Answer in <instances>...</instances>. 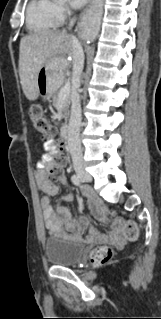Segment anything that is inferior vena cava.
<instances>
[{
    "mask_svg": "<svg viewBox=\"0 0 161 319\" xmlns=\"http://www.w3.org/2000/svg\"><path fill=\"white\" fill-rule=\"evenodd\" d=\"M73 25V21L70 23V27ZM73 45V72L72 79L74 83V91L71 96V115L68 127V146L72 156L73 166L75 170H83V155L80 141V127H81V104L80 96L77 89L81 84V74L84 67V52L79 41L72 37Z\"/></svg>",
    "mask_w": 161,
    "mask_h": 319,
    "instance_id": "602c4592",
    "label": "inferior vena cava"
}]
</instances>
